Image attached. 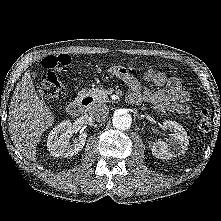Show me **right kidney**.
<instances>
[{
	"instance_id": "1",
	"label": "right kidney",
	"mask_w": 221,
	"mask_h": 221,
	"mask_svg": "<svg viewBox=\"0 0 221 221\" xmlns=\"http://www.w3.org/2000/svg\"><path fill=\"white\" fill-rule=\"evenodd\" d=\"M74 130L70 120H64L55 126L48 135L47 148L54 157H71L81 151L85 145L87 134L81 133L70 144Z\"/></svg>"
}]
</instances>
